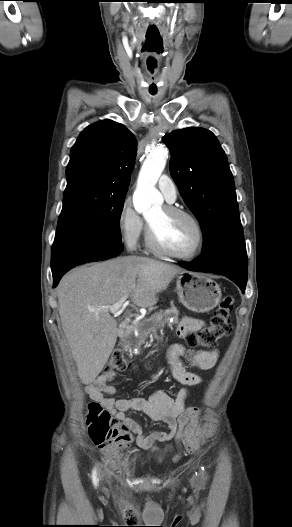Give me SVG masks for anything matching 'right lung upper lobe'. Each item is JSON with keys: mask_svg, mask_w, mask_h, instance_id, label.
I'll use <instances>...</instances> for the list:
<instances>
[{"mask_svg": "<svg viewBox=\"0 0 292 527\" xmlns=\"http://www.w3.org/2000/svg\"><path fill=\"white\" fill-rule=\"evenodd\" d=\"M135 154V138L124 125L112 120L89 125L71 149L67 185L127 192Z\"/></svg>", "mask_w": 292, "mask_h": 527, "instance_id": "cb5924a9", "label": "right lung upper lobe"}]
</instances>
